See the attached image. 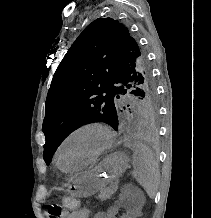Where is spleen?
Returning <instances> with one entry per match:
<instances>
[{"label":"spleen","mask_w":211,"mask_h":218,"mask_svg":"<svg viewBox=\"0 0 211 218\" xmlns=\"http://www.w3.org/2000/svg\"><path fill=\"white\" fill-rule=\"evenodd\" d=\"M132 176L144 188L149 198H155L158 192L160 174L158 164L151 150H135L132 158Z\"/></svg>","instance_id":"obj_1"}]
</instances>
